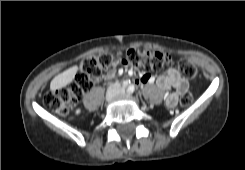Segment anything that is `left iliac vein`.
Masks as SVG:
<instances>
[{"label": "left iliac vein", "mask_w": 245, "mask_h": 170, "mask_svg": "<svg viewBox=\"0 0 245 170\" xmlns=\"http://www.w3.org/2000/svg\"><path fill=\"white\" fill-rule=\"evenodd\" d=\"M121 94H124V89L121 91Z\"/></svg>", "instance_id": "4c4485c4"}]
</instances>
